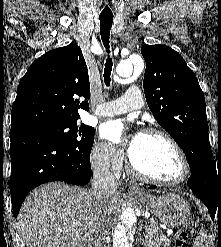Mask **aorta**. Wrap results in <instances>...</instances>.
<instances>
[{
	"label": "aorta",
	"mask_w": 221,
	"mask_h": 247,
	"mask_svg": "<svg viewBox=\"0 0 221 247\" xmlns=\"http://www.w3.org/2000/svg\"><path fill=\"white\" fill-rule=\"evenodd\" d=\"M144 66L143 60L137 56H131L121 61L116 67V73L123 78H129L132 74H138ZM131 228L124 223H118L113 232V247H132Z\"/></svg>",
	"instance_id": "obj_1"
}]
</instances>
